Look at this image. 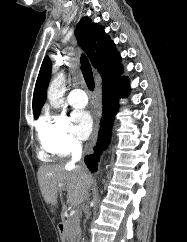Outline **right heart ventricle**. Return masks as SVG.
I'll use <instances>...</instances> for the list:
<instances>
[{"mask_svg": "<svg viewBox=\"0 0 187 242\" xmlns=\"http://www.w3.org/2000/svg\"><path fill=\"white\" fill-rule=\"evenodd\" d=\"M52 154L53 153L41 141L40 150H39V158L43 161H50Z\"/></svg>", "mask_w": 187, "mask_h": 242, "instance_id": "1", "label": "right heart ventricle"}]
</instances>
